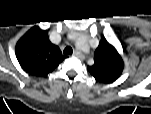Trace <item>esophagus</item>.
Masks as SVG:
<instances>
[{"mask_svg":"<svg viewBox=\"0 0 151 114\" xmlns=\"http://www.w3.org/2000/svg\"><path fill=\"white\" fill-rule=\"evenodd\" d=\"M73 56L79 58V59H84V54L78 50H75L73 53Z\"/></svg>","mask_w":151,"mask_h":114,"instance_id":"esophagus-1","label":"esophagus"}]
</instances>
